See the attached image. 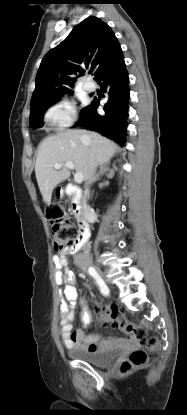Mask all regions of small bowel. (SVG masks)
<instances>
[{"label": "small bowel", "instance_id": "small-bowel-1", "mask_svg": "<svg viewBox=\"0 0 187 415\" xmlns=\"http://www.w3.org/2000/svg\"><path fill=\"white\" fill-rule=\"evenodd\" d=\"M76 247L58 252L54 258V264L58 269L55 273V281L58 285H63V293L60 295L61 311V335L67 348H81L88 351H100L107 348L112 342L102 340L96 334H86L83 329L73 330L72 320L74 310L79 300L78 292L75 287V274L68 266L67 254L74 251ZM82 306L81 320L85 327L92 321V315L84 300H80Z\"/></svg>", "mask_w": 187, "mask_h": 415}]
</instances>
